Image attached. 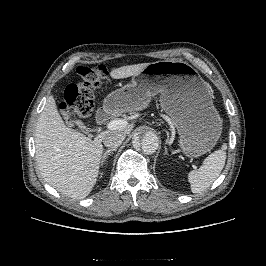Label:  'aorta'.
<instances>
[{
	"instance_id": "aorta-1",
	"label": "aorta",
	"mask_w": 266,
	"mask_h": 266,
	"mask_svg": "<svg viewBox=\"0 0 266 266\" xmlns=\"http://www.w3.org/2000/svg\"><path fill=\"white\" fill-rule=\"evenodd\" d=\"M133 145L134 147L140 145L145 154H153L159 147V138L152 130H142L138 134L137 139L133 141Z\"/></svg>"
}]
</instances>
